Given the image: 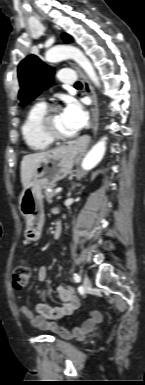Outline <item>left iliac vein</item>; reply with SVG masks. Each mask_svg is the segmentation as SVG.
<instances>
[{"instance_id":"obj_1","label":"left iliac vein","mask_w":145,"mask_h":385,"mask_svg":"<svg viewBox=\"0 0 145 385\" xmlns=\"http://www.w3.org/2000/svg\"><path fill=\"white\" fill-rule=\"evenodd\" d=\"M83 287L85 290H88L91 287V282L87 275L83 276Z\"/></svg>"}]
</instances>
